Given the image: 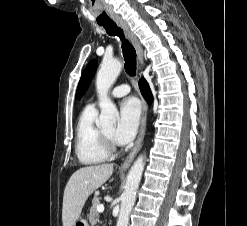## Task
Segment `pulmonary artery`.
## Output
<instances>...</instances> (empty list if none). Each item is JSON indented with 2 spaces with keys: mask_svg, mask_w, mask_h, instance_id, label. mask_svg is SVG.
I'll return each instance as SVG.
<instances>
[{
  "mask_svg": "<svg viewBox=\"0 0 247 226\" xmlns=\"http://www.w3.org/2000/svg\"><path fill=\"white\" fill-rule=\"evenodd\" d=\"M130 92V86L128 84H121L114 87L111 91V96L114 98H119L127 95ZM95 103L92 104L94 106Z\"/></svg>",
  "mask_w": 247,
  "mask_h": 226,
  "instance_id": "e3ab8cb5",
  "label": "pulmonary artery"
}]
</instances>
